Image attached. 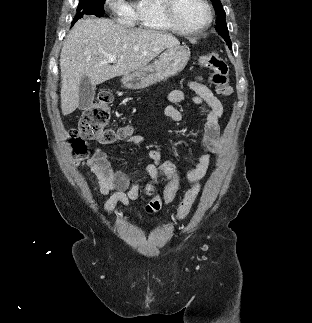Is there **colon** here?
Segmentation results:
<instances>
[{
	"instance_id": "1",
	"label": "colon",
	"mask_w": 312,
	"mask_h": 323,
	"mask_svg": "<svg viewBox=\"0 0 312 323\" xmlns=\"http://www.w3.org/2000/svg\"><path fill=\"white\" fill-rule=\"evenodd\" d=\"M199 66L210 69L213 73L210 83L218 93L223 97H230L233 89L228 82L227 75L229 71L226 60L219 54H206L199 59ZM114 97L109 90H101L96 100L88 105L78 118L77 128L73 129L69 137L71 140L72 158H89L88 141H95L100 145H109L119 137L128 133L127 127H110L111 106ZM160 170L167 172L170 177L168 184L165 186L164 204H172L177 189L176 167L174 160H168L166 164L160 165ZM174 177V180H173ZM153 182V179H148ZM201 184H193L192 189H188L185 198L182 201L180 212L174 210L172 215L177 217H188L189 207L196 200L201 191ZM161 203L158 199H153L146 206L147 211L154 212L160 209Z\"/></svg>"
}]
</instances>
